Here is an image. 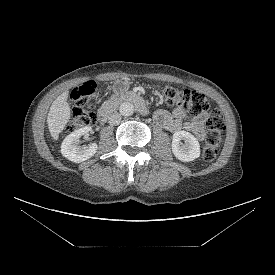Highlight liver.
<instances>
[{"mask_svg":"<svg viewBox=\"0 0 275 275\" xmlns=\"http://www.w3.org/2000/svg\"><path fill=\"white\" fill-rule=\"evenodd\" d=\"M68 93L67 90L64 91L53 101L47 116L48 129L54 140L58 139L71 117V109L67 102Z\"/></svg>","mask_w":275,"mask_h":275,"instance_id":"obj_1","label":"liver"}]
</instances>
